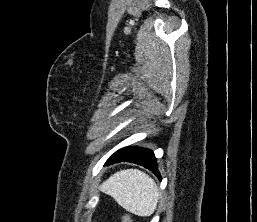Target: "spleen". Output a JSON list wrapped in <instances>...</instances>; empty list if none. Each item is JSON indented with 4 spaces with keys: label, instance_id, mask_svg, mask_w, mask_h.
Segmentation results:
<instances>
[{
    "label": "spleen",
    "instance_id": "1",
    "mask_svg": "<svg viewBox=\"0 0 257 222\" xmlns=\"http://www.w3.org/2000/svg\"><path fill=\"white\" fill-rule=\"evenodd\" d=\"M100 190L137 216L147 217L154 213L159 190L154 180L137 169L121 170L108 178Z\"/></svg>",
    "mask_w": 257,
    "mask_h": 222
}]
</instances>
